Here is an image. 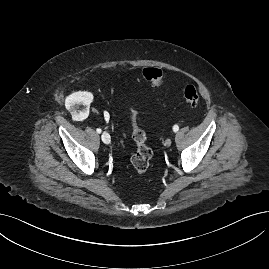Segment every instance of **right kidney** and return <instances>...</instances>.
<instances>
[{
    "mask_svg": "<svg viewBox=\"0 0 269 269\" xmlns=\"http://www.w3.org/2000/svg\"><path fill=\"white\" fill-rule=\"evenodd\" d=\"M93 101V94L88 91H78L74 92L71 95L67 96L65 100V106L68 110L74 111L77 105H83L89 107ZM80 116L86 118L88 112H81Z\"/></svg>",
    "mask_w": 269,
    "mask_h": 269,
    "instance_id": "right-kidney-1",
    "label": "right kidney"
}]
</instances>
